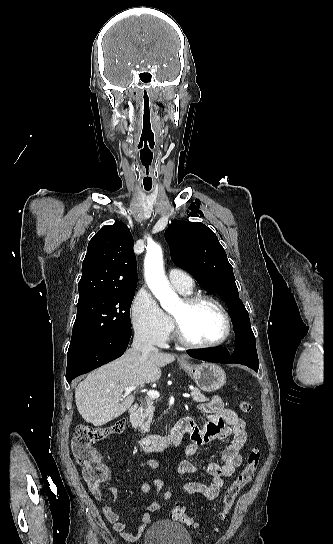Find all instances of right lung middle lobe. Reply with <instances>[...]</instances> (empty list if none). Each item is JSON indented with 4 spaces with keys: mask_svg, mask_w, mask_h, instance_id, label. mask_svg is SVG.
Wrapping results in <instances>:
<instances>
[{
    "mask_svg": "<svg viewBox=\"0 0 333 544\" xmlns=\"http://www.w3.org/2000/svg\"><path fill=\"white\" fill-rule=\"evenodd\" d=\"M134 295V290L111 291L78 302L67 358L112 334L131 330L130 307Z\"/></svg>",
    "mask_w": 333,
    "mask_h": 544,
    "instance_id": "obj_1",
    "label": "right lung middle lobe"
}]
</instances>
